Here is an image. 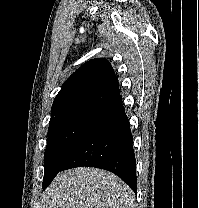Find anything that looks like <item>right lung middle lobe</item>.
<instances>
[{
    "label": "right lung middle lobe",
    "instance_id": "obj_1",
    "mask_svg": "<svg viewBox=\"0 0 199 208\" xmlns=\"http://www.w3.org/2000/svg\"><path fill=\"white\" fill-rule=\"evenodd\" d=\"M99 110L98 107L78 108L51 117L44 154L43 182L59 172Z\"/></svg>",
    "mask_w": 199,
    "mask_h": 208
}]
</instances>
